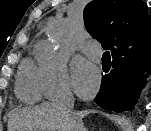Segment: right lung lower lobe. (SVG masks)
<instances>
[{
	"label": "right lung lower lobe",
	"mask_w": 151,
	"mask_h": 131,
	"mask_svg": "<svg viewBox=\"0 0 151 131\" xmlns=\"http://www.w3.org/2000/svg\"><path fill=\"white\" fill-rule=\"evenodd\" d=\"M123 59L113 60V70L102 78L95 102L103 109L115 112L131 110L151 74V58L134 63Z\"/></svg>",
	"instance_id": "obj_1"
}]
</instances>
